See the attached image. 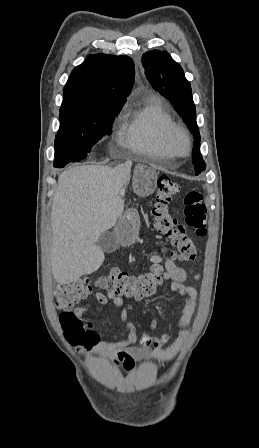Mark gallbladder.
Segmentation results:
<instances>
[{
  "label": "gallbladder",
  "mask_w": 259,
  "mask_h": 448,
  "mask_svg": "<svg viewBox=\"0 0 259 448\" xmlns=\"http://www.w3.org/2000/svg\"><path fill=\"white\" fill-rule=\"evenodd\" d=\"M97 248H100L102 252H115L119 248V242H117V238L113 232H103L102 236H100L99 240L96 242Z\"/></svg>",
  "instance_id": "obj_1"
}]
</instances>
